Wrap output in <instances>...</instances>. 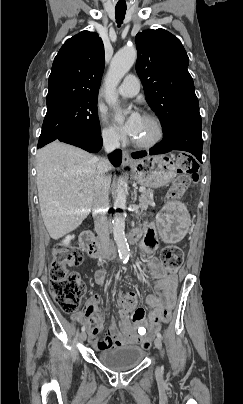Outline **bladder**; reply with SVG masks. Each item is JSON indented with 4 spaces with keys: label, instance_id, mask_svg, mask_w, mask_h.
I'll return each instance as SVG.
<instances>
[{
    "label": "bladder",
    "instance_id": "bladder-1",
    "mask_svg": "<svg viewBox=\"0 0 243 404\" xmlns=\"http://www.w3.org/2000/svg\"><path fill=\"white\" fill-rule=\"evenodd\" d=\"M146 352L136 345H125L101 351L97 359L102 366L111 371H128L138 367L144 360Z\"/></svg>",
    "mask_w": 243,
    "mask_h": 404
}]
</instances>
